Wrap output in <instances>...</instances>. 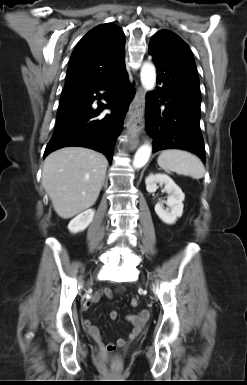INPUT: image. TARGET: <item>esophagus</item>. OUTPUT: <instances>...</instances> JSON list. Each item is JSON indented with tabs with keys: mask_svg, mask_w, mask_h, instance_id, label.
<instances>
[{
	"mask_svg": "<svg viewBox=\"0 0 247 385\" xmlns=\"http://www.w3.org/2000/svg\"><path fill=\"white\" fill-rule=\"evenodd\" d=\"M145 91L139 87L133 100L132 119L128 126L130 148L134 149L139 143V137L144 128Z\"/></svg>",
	"mask_w": 247,
	"mask_h": 385,
	"instance_id": "34e87169",
	"label": "esophagus"
}]
</instances>
